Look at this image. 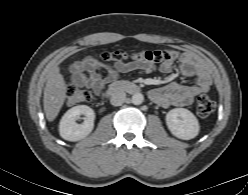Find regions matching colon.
<instances>
[{
  "mask_svg": "<svg viewBox=\"0 0 248 195\" xmlns=\"http://www.w3.org/2000/svg\"><path fill=\"white\" fill-rule=\"evenodd\" d=\"M130 55L125 52H106L100 55V58L107 61H120L127 59ZM142 57L148 61L158 63L171 57L168 52L161 50L147 51ZM92 99L91 94L75 85H68L66 89V100L69 105H77L88 102ZM215 110V103L208 96L202 95L197 100V114L201 118L209 117Z\"/></svg>",
  "mask_w": 248,
  "mask_h": 195,
  "instance_id": "1",
  "label": "colon"
}]
</instances>
